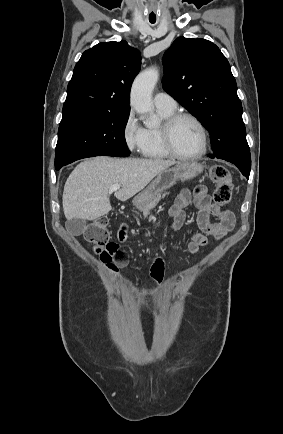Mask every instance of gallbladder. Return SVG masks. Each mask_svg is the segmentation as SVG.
Segmentation results:
<instances>
[{"label":"gallbladder","instance_id":"bac80fb5","mask_svg":"<svg viewBox=\"0 0 283 434\" xmlns=\"http://www.w3.org/2000/svg\"><path fill=\"white\" fill-rule=\"evenodd\" d=\"M66 226L72 235L79 236L86 229V221L83 219L74 218V219L68 221Z\"/></svg>","mask_w":283,"mask_h":434}]
</instances>
